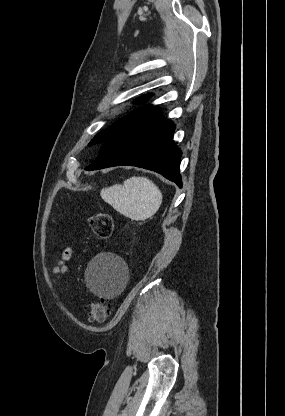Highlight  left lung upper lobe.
Wrapping results in <instances>:
<instances>
[{
  "mask_svg": "<svg viewBox=\"0 0 285 416\" xmlns=\"http://www.w3.org/2000/svg\"><path fill=\"white\" fill-rule=\"evenodd\" d=\"M150 97L144 96L141 97L139 100H137L135 103L144 102ZM158 110V108H152L151 105L142 106L138 109L133 110L130 112L127 116L121 118L119 121L114 123L112 126H110L107 129L102 130L96 136L91 140V142L88 144L89 146H92L94 144H103L109 137H111L115 132H117L120 128L125 126L126 124L142 117L147 114H150L154 111Z\"/></svg>",
  "mask_w": 285,
  "mask_h": 416,
  "instance_id": "obj_1",
  "label": "left lung upper lobe"
}]
</instances>
